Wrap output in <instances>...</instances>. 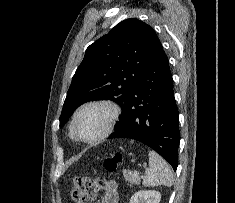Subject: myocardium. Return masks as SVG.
<instances>
[{"instance_id": "myocardium-1", "label": "myocardium", "mask_w": 235, "mask_h": 203, "mask_svg": "<svg viewBox=\"0 0 235 203\" xmlns=\"http://www.w3.org/2000/svg\"><path fill=\"white\" fill-rule=\"evenodd\" d=\"M90 106H104V107L108 108L110 111V119L108 121L106 128L104 129V131L100 135H98L97 137L92 138V139H85L78 134L77 129H76V121H77V117L80 114V112ZM120 115H121L120 106L111 100L94 99V100L87 101V102L83 103L82 105H80L77 108V110L74 112L72 119H71V124H70L71 133L77 141H80L82 143H86V144L97 143V142L105 139L106 137H108L113 132V130H114L119 118H120Z\"/></svg>"}]
</instances>
